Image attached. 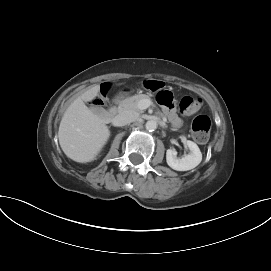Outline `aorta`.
I'll use <instances>...</instances> for the list:
<instances>
[{"mask_svg":"<svg viewBox=\"0 0 271 271\" xmlns=\"http://www.w3.org/2000/svg\"><path fill=\"white\" fill-rule=\"evenodd\" d=\"M145 127L149 131H154L157 129V122L155 120H149L146 122Z\"/></svg>","mask_w":271,"mask_h":271,"instance_id":"1","label":"aorta"}]
</instances>
